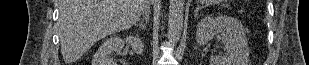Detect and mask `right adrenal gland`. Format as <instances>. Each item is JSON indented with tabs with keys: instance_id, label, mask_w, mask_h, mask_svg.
<instances>
[{
	"instance_id": "2a0ac1e0",
	"label": "right adrenal gland",
	"mask_w": 309,
	"mask_h": 65,
	"mask_svg": "<svg viewBox=\"0 0 309 65\" xmlns=\"http://www.w3.org/2000/svg\"><path fill=\"white\" fill-rule=\"evenodd\" d=\"M148 18H149V15H147V18L145 19L144 22H140L139 24H137V26H138L140 29L145 30L146 25H147V23H148Z\"/></svg>"
}]
</instances>
